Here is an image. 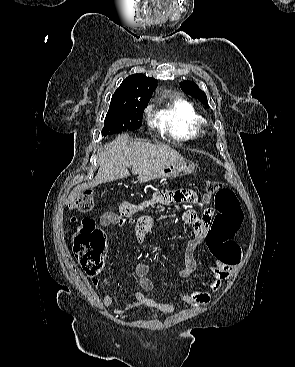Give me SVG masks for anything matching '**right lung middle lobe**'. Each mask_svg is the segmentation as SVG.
<instances>
[{
  "label": "right lung middle lobe",
  "mask_w": 295,
  "mask_h": 367,
  "mask_svg": "<svg viewBox=\"0 0 295 367\" xmlns=\"http://www.w3.org/2000/svg\"><path fill=\"white\" fill-rule=\"evenodd\" d=\"M148 102H132L111 105L105 118L102 136L120 133L126 130H137L142 125L144 109Z\"/></svg>",
  "instance_id": "obj_1"
}]
</instances>
